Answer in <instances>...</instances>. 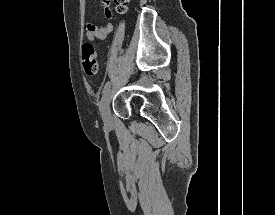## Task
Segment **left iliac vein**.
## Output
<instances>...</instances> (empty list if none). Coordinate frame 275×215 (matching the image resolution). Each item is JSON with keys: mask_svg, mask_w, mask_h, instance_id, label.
Returning <instances> with one entry per match:
<instances>
[{"mask_svg": "<svg viewBox=\"0 0 275 215\" xmlns=\"http://www.w3.org/2000/svg\"><path fill=\"white\" fill-rule=\"evenodd\" d=\"M111 91L108 90L102 97L100 104V113L103 119L105 127L110 128L112 126V115L110 112Z\"/></svg>", "mask_w": 275, "mask_h": 215, "instance_id": "1", "label": "left iliac vein"}]
</instances>
